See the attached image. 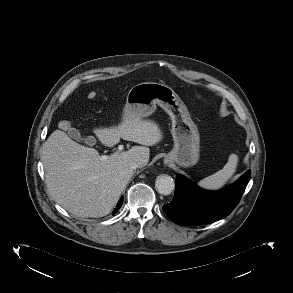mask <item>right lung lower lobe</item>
Segmentation results:
<instances>
[{
	"label": "right lung lower lobe",
	"mask_w": 293,
	"mask_h": 293,
	"mask_svg": "<svg viewBox=\"0 0 293 293\" xmlns=\"http://www.w3.org/2000/svg\"><path fill=\"white\" fill-rule=\"evenodd\" d=\"M122 204H123V197L119 200L116 208L113 211V214H115L120 209V207L122 206Z\"/></svg>",
	"instance_id": "1"
}]
</instances>
